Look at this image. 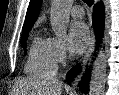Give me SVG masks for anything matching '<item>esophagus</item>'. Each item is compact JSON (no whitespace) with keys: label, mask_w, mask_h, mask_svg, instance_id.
I'll return each instance as SVG.
<instances>
[{"label":"esophagus","mask_w":119,"mask_h":95,"mask_svg":"<svg viewBox=\"0 0 119 95\" xmlns=\"http://www.w3.org/2000/svg\"><path fill=\"white\" fill-rule=\"evenodd\" d=\"M94 47H95V35L93 34V36H92V38H91V42H90V44H89V47H88V49H87V51H86V53H85V56H84V58H83V60H82V71H81L80 75H78V76L76 77L75 82H74V85H76V84L80 81V78H81V76H82V74H83V71H84V69H85V66H86L87 62H88V61L90 60V58H91V55H92L93 50H94Z\"/></svg>","instance_id":"34e87169"}]
</instances>
